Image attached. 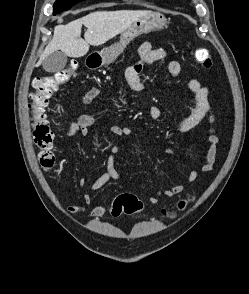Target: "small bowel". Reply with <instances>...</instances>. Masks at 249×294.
<instances>
[{
	"mask_svg": "<svg viewBox=\"0 0 249 294\" xmlns=\"http://www.w3.org/2000/svg\"><path fill=\"white\" fill-rule=\"evenodd\" d=\"M138 61L129 66L126 70V80L129 88L133 91H139L143 88V83L141 80V74L147 65H151L157 61L164 59L167 56V50L162 47H155L151 42L143 43L138 49ZM168 71L173 77H178L181 74L182 67L178 61H171L168 65ZM188 89L191 93V97L195 102V108L192 113L183 119L182 121L174 125V131L176 133H186L196 126H198L201 121L206 118L210 124L215 122V115L212 106L208 100L209 90L207 87L201 85L197 79H191L188 82ZM100 92V89L96 86L89 88L82 97L84 104H89ZM148 115L151 119L157 120L163 116V110L156 105L150 106L148 108ZM94 118L88 114L80 115L76 121L70 123L66 134L67 136L75 135L80 133L83 137H88L91 133V127L94 124ZM110 133L119 138L130 137L132 131L122 125H112L109 129ZM219 138L213 133V129L209 130L208 136V147L205 156V160L201 166L202 172H211L214 169ZM121 150L120 145L114 144L110 148V155L107 159V169L99 176L90 186L92 191H98L102 189L111 180L120 179V174L114 167L115 155ZM174 153L173 148H167L166 154L171 155ZM199 176V171L197 169H192L185 182L178 183L174 186L166 188L164 190H159L149 197V202L151 204H157L162 196L175 197L181 194L187 184H191L197 180ZM81 185L84 181L80 182ZM92 203V195L87 193L83 196L82 202L80 204H73L67 208L69 214H77L85 212L87 207ZM107 211V206L105 204H98L93 207L90 211V216L94 219L101 218L105 215Z\"/></svg>",
	"mask_w": 249,
	"mask_h": 294,
	"instance_id": "1",
	"label": "small bowel"
}]
</instances>
